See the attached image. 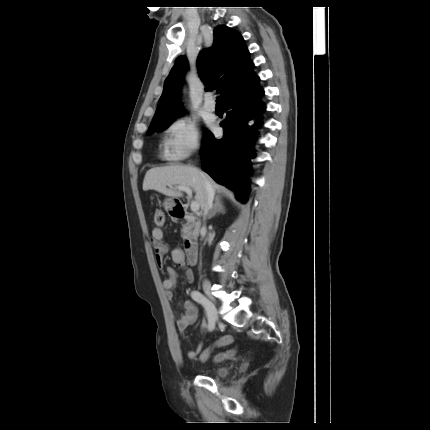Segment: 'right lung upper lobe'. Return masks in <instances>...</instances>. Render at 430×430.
Wrapping results in <instances>:
<instances>
[{
	"label": "right lung upper lobe",
	"instance_id": "1",
	"mask_svg": "<svg viewBox=\"0 0 430 430\" xmlns=\"http://www.w3.org/2000/svg\"><path fill=\"white\" fill-rule=\"evenodd\" d=\"M197 67L205 90L219 87L222 90V100L243 80L255 76L254 64L249 59L242 36L226 26L214 29L213 45L199 53ZM187 68V60L179 57L164 82L163 93L151 125L181 114L180 89Z\"/></svg>",
	"mask_w": 430,
	"mask_h": 430
}]
</instances>
